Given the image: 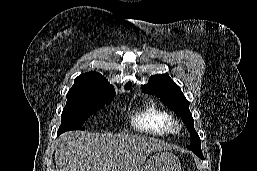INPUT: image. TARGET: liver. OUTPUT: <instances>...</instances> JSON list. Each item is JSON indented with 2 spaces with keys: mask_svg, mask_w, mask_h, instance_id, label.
Listing matches in <instances>:
<instances>
[{
  "mask_svg": "<svg viewBox=\"0 0 257 171\" xmlns=\"http://www.w3.org/2000/svg\"><path fill=\"white\" fill-rule=\"evenodd\" d=\"M168 149L153 138L71 131L56 142L55 164L57 171H144L149 154Z\"/></svg>",
  "mask_w": 257,
  "mask_h": 171,
  "instance_id": "6515ba94",
  "label": "liver"
}]
</instances>
